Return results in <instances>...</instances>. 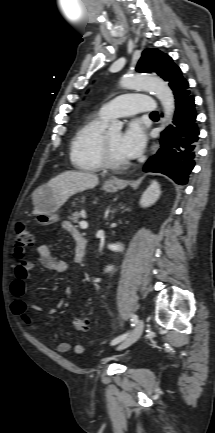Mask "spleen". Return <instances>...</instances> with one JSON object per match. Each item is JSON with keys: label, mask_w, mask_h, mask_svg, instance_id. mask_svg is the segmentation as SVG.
<instances>
[{"label": "spleen", "mask_w": 215, "mask_h": 433, "mask_svg": "<svg viewBox=\"0 0 215 433\" xmlns=\"http://www.w3.org/2000/svg\"><path fill=\"white\" fill-rule=\"evenodd\" d=\"M161 195L160 185L156 181H152L148 189L144 192L141 198V205L144 207L155 203Z\"/></svg>", "instance_id": "1"}]
</instances>
